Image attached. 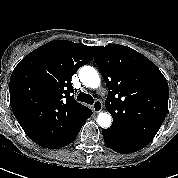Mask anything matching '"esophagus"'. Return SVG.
Returning a JSON list of instances; mask_svg holds the SVG:
<instances>
[{"mask_svg": "<svg viewBox=\"0 0 178 178\" xmlns=\"http://www.w3.org/2000/svg\"><path fill=\"white\" fill-rule=\"evenodd\" d=\"M94 113H99L102 110V104L100 101H95L94 105L91 107Z\"/></svg>", "mask_w": 178, "mask_h": 178, "instance_id": "1", "label": "esophagus"}]
</instances>
